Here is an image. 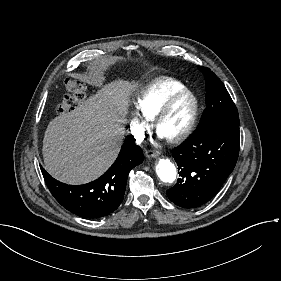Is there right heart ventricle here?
I'll use <instances>...</instances> for the list:
<instances>
[{"label": "right heart ventricle", "mask_w": 281, "mask_h": 281, "mask_svg": "<svg viewBox=\"0 0 281 281\" xmlns=\"http://www.w3.org/2000/svg\"><path fill=\"white\" fill-rule=\"evenodd\" d=\"M186 86L176 79H166L134 95L130 104L136 114L149 119L171 96L186 90ZM134 125L143 130V123L136 119Z\"/></svg>", "instance_id": "e07e8e85"}]
</instances>
